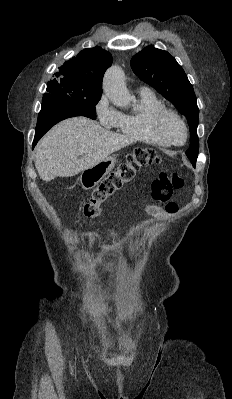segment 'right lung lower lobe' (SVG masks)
<instances>
[{"label": "right lung lower lobe", "instance_id": "obj_1", "mask_svg": "<svg viewBox=\"0 0 232 399\" xmlns=\"http://www.w3.org/2000/svg\"><path fill=\"white\" fill-rule=\"evenodd\" d=\"M75 116L88 117L84 113L61 103H42V108L38 115L33 147L36 145L38 140L56 123Z\"/></svg>", "mask_w": 232, "mask_h": 399}]
</instances>
